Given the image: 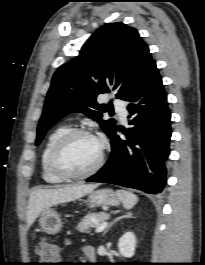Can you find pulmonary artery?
I'll use <instances>...</instances> for the list:
<instances>
[{
  "mask_svg": "<svg viewBox=\"0 0 205 265\" xmlns=\"http://www.w3.org/2000/svg\"><path fill=\"white\" fill-rule=\"evenodd\" d=\"M113 104L116 111L119 113L120 117L122 118V120H125L127 115V109L125 103L119 99H115Z\"/></svg>",
  "mask_w": 205,
  "mask_h": 265,
  "instance_id": "pulmonary-artery-1",
  "label": "pulmonary artery"
}]
</instances>
